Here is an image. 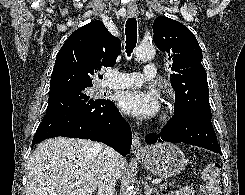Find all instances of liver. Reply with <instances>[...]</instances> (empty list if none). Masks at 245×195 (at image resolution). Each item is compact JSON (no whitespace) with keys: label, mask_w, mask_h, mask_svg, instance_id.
<instances>
[{"label":"liver","mask_w":245,"mask_h":195,"mask_svg":"<svg viewBox=\"0 0 245 195\" xmlns=\"http://www.w3.org/2000/svg\"><path fill=\"white\" fill-rule=\"evenodd\" d=\"M104 145L79 138L56 137L40 143L28 160L26 195H92L104 160ZM115 178L124 159L113 158Z\"/></svg>","instance_id":"liver-1"}]
</instances>
